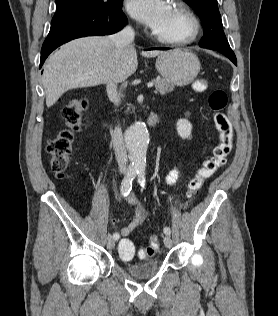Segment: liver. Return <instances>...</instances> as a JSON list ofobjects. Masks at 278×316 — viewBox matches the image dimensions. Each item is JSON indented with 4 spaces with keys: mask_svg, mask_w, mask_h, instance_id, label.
<instances>
[{
    "mask_svg": "<svg viewBox=\"0 0 278 316\" xmlns=\"http://www.w3.org/2000/svg\"><path fill=\"white\" fill-rule=\"evenodd\" d=\"M157 50L143 51L156 57ZM138 67L134 46L117 55L110 37L89 36L70 41L49 57L44 65L43 86L46 104L51 107L68 90L98 86L112 81L121 83Z\"/></svg>",
    "mask_w": 278,
    "mask_h": 316,
    "instance_id": "6515ba94",
    "label": "liver"
}]
</instances>
